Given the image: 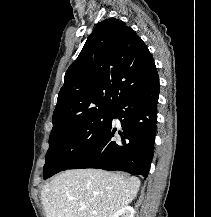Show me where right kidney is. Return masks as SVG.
Segmentation results:
<instances>
[{
  "label": "right kidney",
  "instance_id": "1",
  "mask_svg": "<svg viewBox=\"0 0 211 217\" xmlns=\"http://www.w3.org/2000/svg\"><path fill=\"white\" fill-rule=\"evenodd\" d=\"M135 210L131 206H125L118 210L112 217H134Z\"/></svg>",
  "mask_w": 211,
  "mask_h": 217
}]
</instances>
